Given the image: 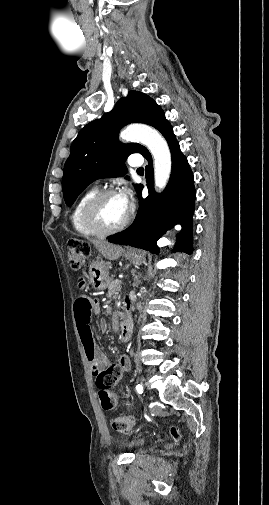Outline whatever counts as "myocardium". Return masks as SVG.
<instances>
[{"mask_svg": "<svg viewBox=\"0 0 269 505\" xmlns=\"http://www.w3.org/2000/svg\"><path fill=\"white\" fill-rule=\"evenodd\" d=\"M114 189H105L95 193L85 204L83 209V220L85 224L98 235H112L124 230L131 221V214L128 213L126 218L115 227H106L98 219L97 209L100 203L109 196L117 195Z\"/></svg>", "mask_w": 269, "mask_h": 505, "instance_id": "myocardium-1", "label": "myocardium"}]
</instances>
